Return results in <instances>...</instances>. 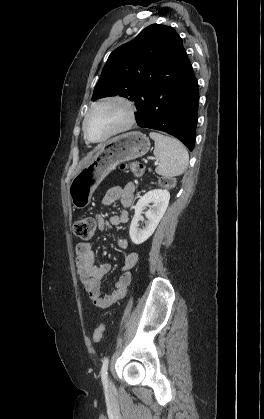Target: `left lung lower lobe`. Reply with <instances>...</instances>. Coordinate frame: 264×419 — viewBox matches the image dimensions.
Here are the masks:
<instances>
[{"label": "left lung lower lobe", "mask_w": 264, "mask_h": 419, "mask_svg": "<svg viewBox=\"0 0 264 419\" xmlns=\"http://www.w3.org/2000/svg\"><path fill=\"white\" fill-rule=\"evenodd\" d=\"M198 101V83L182 46L170 76L153 83L146 101L137 109V124L142 128L164 131L178 138L192 151Z\"/></svg>", "instance_id": "obj_1"}]
</instances>
